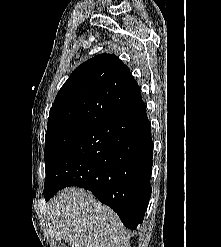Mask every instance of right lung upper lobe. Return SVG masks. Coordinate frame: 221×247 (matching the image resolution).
Wrapping results in <instances>:
<instances>
[{"mask_svg":"<svg viewBox=\"0 0 221 247\" xmlns=\"http://www.w3.org/2000/svg\"><path fill=\"white\" fill-rule=\"evenodd\" d=\"M143 102L129 68L114 54L97 55L77 67L58 92L47 129L93 127Z\"/></svg>","mask_w":221,"mask_h":247,"instance_id":"cb5924a9","label":"right lung upper lobe"}]
</instances>
